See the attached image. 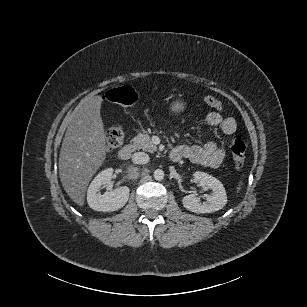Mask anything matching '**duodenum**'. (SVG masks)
Returning a JSON list of instances; mask_svg holds the SVG:
<instances>
[{
	"mask_svg": "<svg viewBox=\"0 0 307 307\" xmlns=\"http://www.w3.org/2000/svg\"><path fill=\"white\" fill-rule=\"evenodd\" d=\"M132 151L133 148L131 145H125L118 151V158L121 161H127L131 157Z\"/></svg>",
	"mask_w": 307,
	"mask_h": 307,
	"instance_id": "1",
	"label": "duodenum"
}]
</instances>
